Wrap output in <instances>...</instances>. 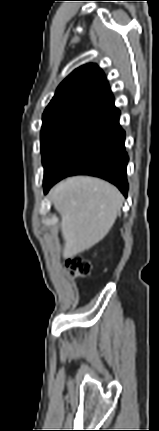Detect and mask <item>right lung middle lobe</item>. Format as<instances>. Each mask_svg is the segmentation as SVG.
Wrapping results in <instances>:
<instances>
[{
    "label": "right lung middle lobe",
    "mask_w": 159,
    "mask_h": 431,
    "mask_svg": "<svg viewBox=\"0 0 159 431\" xmlns=\"http://www.w3.org/2000/svg\"><path fill=\"white\" fill-rule=\"evenodd\" d=\"M85 123V120L71 117L43 118L41 129V153L44 167L58 146L71 133Z\"/></svg>",
    "instance_id": "obj_1"
}]
</instances>
